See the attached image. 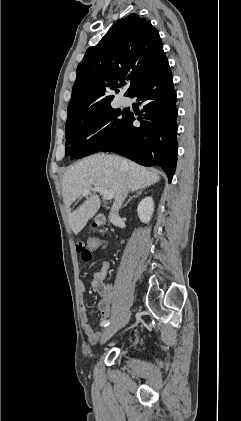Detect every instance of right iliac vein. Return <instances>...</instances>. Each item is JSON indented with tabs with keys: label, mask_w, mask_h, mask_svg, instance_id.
Instances as JSON below:
<instances>
[{
	"label": "right iliac vein",
	"mask_w": 241,
	"mask_h": 421,
	"mask_svg": "<svg viewBox=\"0 0 241 421\" xmlns=\"http://www.w3.org/2000/svg\"><path fill=\"white\" fill-rule=\"evenodd\" d=\"M130 319V312L127 313L123 318H121L119 321L112 323L108 327H106L102 333L101 337V344H104L106 341H108L117 331H119L121 328H123Z\"/></svg>",
	"instance_id": "1"
}]
</instances>
